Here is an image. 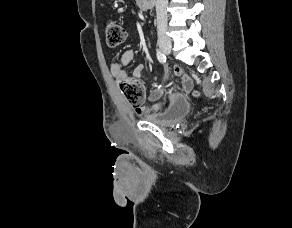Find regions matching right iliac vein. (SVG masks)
I'll use <instances>...</instances> for the list:
<instances>
[{
    "label": "right iliac vein",
    "mask_w": 292,
    "mask_h": 228,
    "mask_svg": "<svg viewBox=\"0 0 292 228\" xmlns=\"http://www.w3.org/2000/svg\"><path fill=\"white\" fill-rule=\"evenodd\" d=\"M160 48L165 53H170L172 50V45L170 42H160Z\"/></svg>",
    "instance_id": "obj_1"
}]
</instances>
